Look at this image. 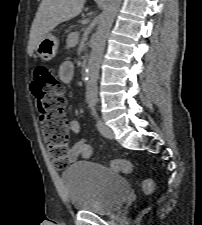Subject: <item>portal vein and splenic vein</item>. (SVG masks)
<instances>
[{
	"label": "portal vein and splenic vein",
	"instance_id": "1",
	"mask_svg": "<svg viewBox=\"0 0 202 225\" xmlns=\"http://www.w3.org/2000/svg\"><path fill=\"white\" fill-rule=\"evenodd\" d=\"M79 40V33L78 32H72L67 37V43L71 44L72 46L77 45Z\"/></svg>",
	"mask_w": 202,
	"mask_h": 225
}]
</instances>
